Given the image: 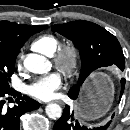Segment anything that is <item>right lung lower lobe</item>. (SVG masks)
Returning <instances> with one entry per match:
<instances>
[{
    "label": "right lung lower lobe",
    "mask_w": 130,
    "mask_h": 130,
    "mask_svg": "<svg viewBox=\"0 0 130 130\" xmlns=\"http://www.w3.org/2000/svg\"><path fill=\"white\" fill-rule=\"evenodd\" d=\"M18 96L16 98V105L13 107L5 106V99L7 96ZM40 104L27 97L21 96L12 88H0V130H20V116L26 112L39 108Z\"/></svg>",
    "instance_id": "98d812e1"
}]
</instances>
